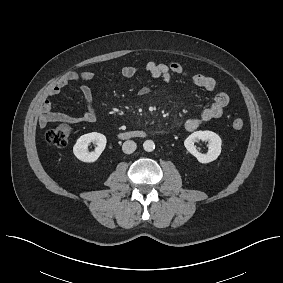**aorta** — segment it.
I'll return each instance as SVG.
<instances>
[{
    "mask_svg": "<svg viewBox=\"0 0 283 283\" xmlns=\"http://www.w3.org/2000/svg\"><path fill=\"white\" fill-rule=\"evenodd\" d=\"M143 148L146 152H152L155 149V143L152 140H146L143 143Z\"/></svg>",
    "mask_w": 283,
    "mask_h": 283,
    "instance_id": "762f6f07",
    "label": "aorta"
}]
</instances>
